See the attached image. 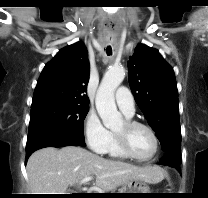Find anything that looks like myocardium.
<instances>
[{"label":"myocardium","instance_id":"f54148a6","mask_svg":"<svg viewBox=\"0 0 208 198\" xmlns=\"http://www.w3.org/2000/svg\"><path fill=\"white\" fill-rule=\"evenodd\" d=\"M124 125H125L126 130L132 129L134 127H142L144 129H146L151 134V136L153 138L154 150L150 156H148L146 158H140V157L136 156L132 152V150L130 149L126 133L114 132L113 133L114 138H115L119 148L122 150V152L124 154H126L129 158H131L135 161H138V162H148V161L152 160L156 156V154L158 153V150H159V139H158V136H157L156 132L154 131V129L144 122L129 119V118L124 120Z\"/></svg>","mask_w":208,"mask_h":198}]
</instances>
